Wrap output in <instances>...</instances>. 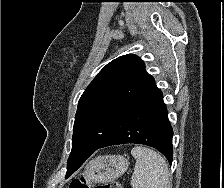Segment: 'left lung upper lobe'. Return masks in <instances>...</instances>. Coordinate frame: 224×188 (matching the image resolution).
<instances>
[{
  "mask_svg": "<svg viewBox=\"0 0 224 188\" xmlns=\"http://www.w3.org/2000/svg\"><path fill=\"white\" fill-rule=\"evenodd\" d=\"M153 86L138 56L127 54L108 63L79 100L67 169L95 152L126 110Z\"/></svg>",
  "mask_w": 224,
  "mask_h": 188,
  "instance_id": "5c2ea615",
  "label": "left lung upper lobe"
}]
</instances>
